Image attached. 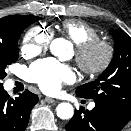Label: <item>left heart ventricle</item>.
<instances>
[{
  "label": "left heart ventricle",
  "mask_w": 131,
  "mask_h": 131,
  "mask_svg": "<svg viewBox=\"0 0 131 131\" xmlns=\"http://www.w3.org/2000/svg\"><path fill=\"white\" fill-rule=\"evenodd\" d=\"M102 58V51L100 49L94 50L90 55V62L92 64H97Z\"/></svg>",
  "instance_id": "obj_1"
}]
</instances>
